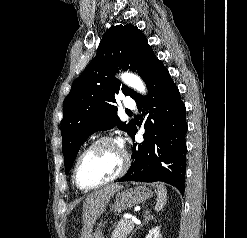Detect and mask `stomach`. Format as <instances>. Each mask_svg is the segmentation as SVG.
Listing matches in <instances>:
<instances>
[{"label":"stomach","mask_w":247,"mask_h":238,"mask_svg":"<svg viewBox=\"0 0 247 238\" xmlns=\"http://www.w3.org/2000/svg\"><path fill=\"white\" fill-rule=\"evenodd\" d=\"M152 196V191L145 185H139L130 189H127L116 195L114 201V209L116 212H122L125 209L132 208L135 205L144 203ZM91 238H104L100 229H98Z\"/></svg>","instance_id":"obj_1"}]
</instances>
